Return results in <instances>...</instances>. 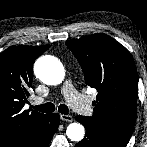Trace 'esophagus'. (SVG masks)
Listing matches in <instances>:
<instances>
[{
	"mask_svg": "<svg viewBox=\"0 0 147 147\" xmlns=\"http://www.w3.org/2000/svg\"><path fill=\"white\" fill-rule=\"evenodd\" d=\"M61 120L66 121V122H72L73 121V117L71 115H60Z\"/></svg>",
	"mask_w": 147,
	"mask_h": 147,
	"instance_id": "esophagus-1",
	"label": "esophagus"
}]
</instances>
